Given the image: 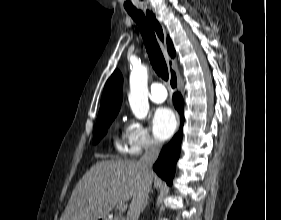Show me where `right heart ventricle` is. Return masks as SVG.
<instances>
[{
	"instance_id": "obj_1",
	"label": "right heart ventricle",
	"mask_w": 281,
	"mask_h": 220,
	"mask_svg": "<svg viewBox=\"0 0 281 220\" xmlns=\"http://www.w3.org/2000/svg\"><path fill=\"white\" fill-rule=\"evenodd\" d=\"M115 147L121 153H133L128 144L124 141V138L117 137L115 139Z\"/></svg>"
}]
</instances>
